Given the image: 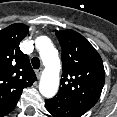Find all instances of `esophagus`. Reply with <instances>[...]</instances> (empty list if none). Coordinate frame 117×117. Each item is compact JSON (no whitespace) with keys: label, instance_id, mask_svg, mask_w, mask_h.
<instances>
[{"label":"esophagus","instance_id":"34e87169","mask_svg":"<svg viewBox=\"0 0 117 117\" xmlns=\"http://www.w3.org/2000/svg\"><path fill=\"white\" fill-rule=\"evenodd\" d=\"M41 73H42V69H38L36 71V75H37L38 78L41 76Z\"/></svg>","mask_w":117,"mask_h":117}]
</instances>
